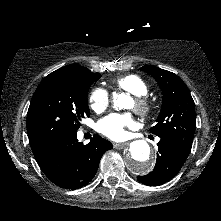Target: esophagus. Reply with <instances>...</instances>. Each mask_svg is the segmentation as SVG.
<instances>
[{
	"label": "esophagus",
	"mask_w": 221,
	"mask_h": 221,
	"mask_svg": "<svg viewBox=\"0 0 221 221\" xmlns=\"http://www.w3.org/2000/svg\"><path fill=\"white\" fill-rule=\"evenodd\" d=\"M128 145V142H123V143H113L114 148H119V147H124Z\"/></svg>",
	"instance_id": "1"
}]
</instances>
